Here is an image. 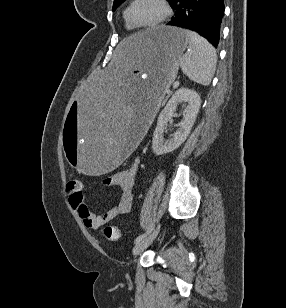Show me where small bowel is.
I'll return each mask as SVG.
<instances>
[{"mask_svg":"<svg viewBox=\"0 0 286 308\" xmlns=\"http://www.w3.org/2000/svg\"><path fill=\"white\" fill-rule=\"evenodd\" d=\"M139 166L140 162L136 160L127 169L116 172L105 179V185L116 187L120 190V197L111 209L102 214H94L88 208L82 184L79 191H68L69 204L76 211L86 228L98 229L119 215L130 211L132 190L136 183Z\"/></svg>","mask_w":286,"mask_h":308,"instance_id":"c3829d8e","label":"small bowel"}]
</instances>
